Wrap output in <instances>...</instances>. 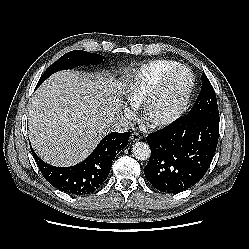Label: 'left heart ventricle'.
I'll return each mask as SVG.
<instances>
[{
	"label": "left heart ventricle",
	"mask_w": 249,
	"mask_h": 249,
	"mask_svg": "<svg viewBox=\"0 0 249 249\" xmlns=\"http://www.w3.org/2000/svg\"><path fill=\"white\" fill-rule=\"evenodd\" d=\"M189 83V73L186 70H180L170 80L167 93L160 107V111L169 110L178 101Z\"/></svg>",
	"instance_id": "b2bd125f"
}]
</instances>
